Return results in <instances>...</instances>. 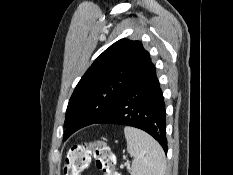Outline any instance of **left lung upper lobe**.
I'll list each match as a JSON object with an SVG mask.
<instances>
[{"instance_id": "5c2ea615", "label": "left lung upper lobe", "mask_w": 233, "mask_h": 175, "mask_svg": "<svg viewBox=\"0 0 233 175\" xmlns=\"http://www.w3.org/2000/svg\"><path fill=\"white\" fill-rule=\"evenodd\" d=\"M140 41L121 39L106 49L77 84L66 111V140L102 117L151 64Z\"/></svg>"}]
</instances>
